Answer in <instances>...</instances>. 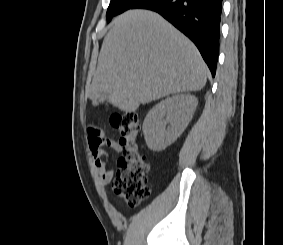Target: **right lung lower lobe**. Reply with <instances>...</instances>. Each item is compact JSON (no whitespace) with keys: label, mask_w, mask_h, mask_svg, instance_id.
I'll return each instance as SVG.
<instances>
[{"label":"right lung lower lobe","mask_w":283,"mask_h":245,"mask_svg":"<svg viewBox=\"0 0 283 245\" xmlns=\"http://www.w3.org/2000/svg\"><path fill=\"white\" fill-rule=\"evenodd\" d=\"M134 8L158 12L189 37L215 76L222 0H141Z\"/></svg>","instance_id":"right-lung-lower-lobe-1"}]
</instances>
